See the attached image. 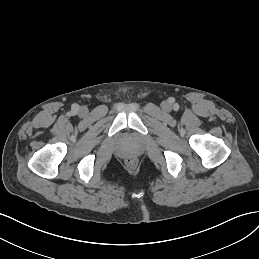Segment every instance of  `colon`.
I'll return each mask as SVG.
<instances>
[{
    "label": "colon",
    "mask_w": 259,
    "mask_h": 259,
    "mask_svg": "<svg viewBox=\"0 0 259 259\" xmlns=\"http://www.w3.org/2000/svg\"><path fill=\"white\" fill-rule=\"evenodd\" d=\"M126 163H127L128 166L133 167V166L136 165L137 160H136V158H134V157H129V158H127V160H126Z\"/></svg>",
    "instance_id": "colon-1"
}]
</instances>
